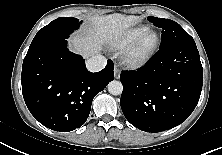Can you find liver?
Instances as JSON below:
<instances>
[{"label":"liver","instance_id":"liver-1","mask_svg":"<svg viewBox=\"0 0 222 155\" xmlns=\"http://www.w3.org/2000/svg\"><path fill=\"white\" fill-rule=\"evenodd\" d=\"M139 20L138 16L118 13L94 17L85 34L73 36L70 42L74 51L86 58L92 57L101 50L104 42L120 36Z\"/></svg>","mask_w":222,"mask_h":155}]
</instances>
